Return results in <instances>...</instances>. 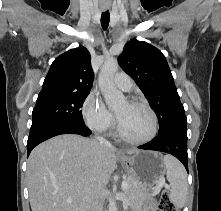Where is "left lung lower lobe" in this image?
<instances>
[{
	"mask_svg": "<svg viewBox=\"0 0 221 211\" xmlns=\"http://www.w3.org/2000/svg\"><path fill=\"white\" fill-rule=\"evenodd\" d=\"M139 148L169 153L178 158L188 171L187 127H177L159 134L156 139Z\"/></svg>",
	"mask_w": 221,
	"mask_h": 211,
	"instance_id": "left-lung-lower-lobe-1",
	"label": "left lung lower lobe"
}]
</instances>
